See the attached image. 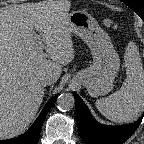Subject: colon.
<instances>
[{"instance_id":"colon-1","label":"colon","mask_w":144,"mask_h":144,"mask_svg":"<svg viewBox=\"0 0 144 144\" xmlns=\"http://www.w3.org/2000/svg\"><path fill=\"white\" fill-rule=\"evenodd\" d=\"M111 23H112V21L110 19L105 20L106 25H110Z\"/></svg>"}]
</instances>
